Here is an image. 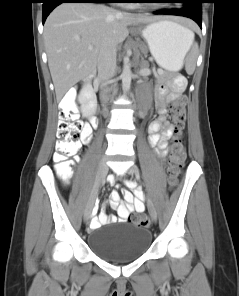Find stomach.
Returning a JSON list of instances; mask_svg holds the SVG:
<instances>
[{
  "instance_id": "stomach-1",
  "label": "stomach",
  "mask_w": 239,
  "mask_h": 296,
  "mask_svg": "<svg viewBox=\"0 0 239 296\" xmlns=\"http://www.w3.org/2000/svg\"><path fill=\"white\" fill-rule=\"evenodd\" d=\"M157 64L170 72L181 69L191 45L189 29L169 20H159L139 27Z\"/></svg>"
}]
</instances>
